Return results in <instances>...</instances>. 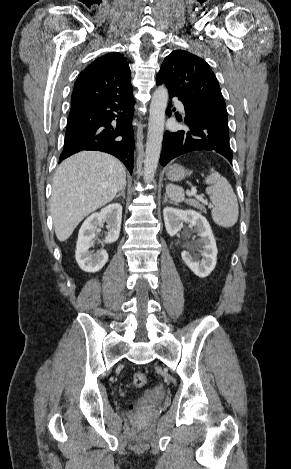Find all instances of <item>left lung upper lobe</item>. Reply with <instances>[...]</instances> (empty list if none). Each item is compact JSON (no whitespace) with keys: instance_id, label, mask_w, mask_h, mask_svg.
<instances>
[{"instance_id":"left-lung-upper-lobe-1","label":"left lung upper lobe","mask_w":291,"mask_h":469,"mask_svg":"<svg viewBox=\"0 0 291 469\" xmlns=\"http://www.w3.org/2000/svg\"><path fill=\"white\" fill-rule=\"evenodd\" d=\"M156 81L157 84L165 83L169 93L227 117L218 81L202 58L184 50H175L164 59Z\"/></svg>"}]
</instances>
